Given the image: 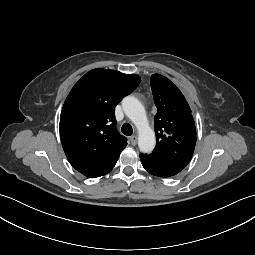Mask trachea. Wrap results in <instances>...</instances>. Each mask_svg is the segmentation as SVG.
Returning <instances> with one entry per match:
<instances>
[{
	"instance_id": "trachea-1",
	"label": "trachea",
	"mask_w": 255,
	"mask_h": 255,
	"mask_svg": "<svg viewBox=\"0 0 255 255\" xmlns=\"http://www.w3.org/2000/svg\"><path fill=\"white\" fill-rule=\"evenodd\" d=\"M121 131L123 134H125L127 136H130L133 133L132 126L129 123H124L121 128Z\"/></svg>"
}]
</instances>
